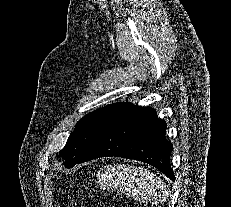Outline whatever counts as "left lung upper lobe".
<instances>
[{
  "instance_id": "obj_1",
  "label": "left lung upper lobe",
  "mask_w": 231,
  "mask_h": 207,
  "mask_svg": "<svg viewBox=\"0 0 231 207\" xmlns=\"http://www.w3.org/2000/svg\"><path fill=\"white\" fill-rule=\"evenodd\" d=\"M121 105V103L107 105L86 115L76 123L65 147L59 152V155L65 158L64 165L67 168H72L80 161L106 120Z\"/></svg>"
}]
</instances>
